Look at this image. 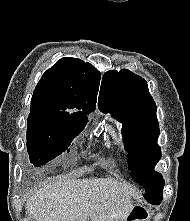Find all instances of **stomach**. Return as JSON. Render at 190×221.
Here are the masks:
<instances>
[{"mask_svg": "<svg viewBox=\"0 0 190 221\" xmlns=\"http://www.w3.org/2000/svg\"><path fill=\"white\" fill-rule=\"evenodd\" d=\"M122 217H126L124 221L130 220L132 217H149L146 208H133L131 212H122Z\"/></svg>", "mask_w": 190, "mask_h": 221, "instance_id": "1", "label": "stomach"}]
</instances>
